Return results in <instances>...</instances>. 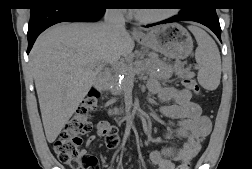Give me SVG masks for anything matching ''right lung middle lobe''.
Listing matches in <instances>:
<instances>
[{
  "label": "right lung middle lobe",
  "instance_id": "obj_1",
  "mask_svg": "<svg viewBox=\"0 0 252 169\" xmlns=\"http://www.w3.org/2000/svg\"><path fill=\"white\" fill-rule=\"evenodd\" d=\"M40 1H42V0H40ZM88 1H90V2H94V3H106V1L107 0H88Z\"/></svg>",
  "mask_w": 252,
  "mask_h": 169
}]
</instances>
